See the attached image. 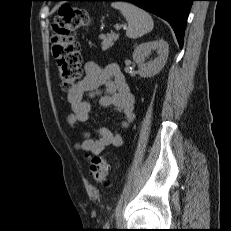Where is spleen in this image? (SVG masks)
<instances>
[{
  "label": "spleen",
  "instance_id": "1",
  "mask_svg": "<svg viewBox=\"0 0 231 231\" xmlns=\"http://www.w3.org/2000/svg\"><path fill=\"white\" fill-rule=\"evenodd\" d=\"M111 6L119 10L128 22L127 37L137 39L152 31L153 19L143 9L127 2H113Z\"/></svg>",
  "mask_w": 231,
  "mask_h": 231
}]
</instances>
